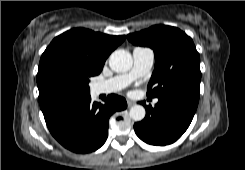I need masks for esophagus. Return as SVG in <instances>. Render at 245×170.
<instances>
[{
	"label": "esophagus",
	"instance_id": "1",
	"mask_svg": "<svg viewBox=\"0 0 245 170\" xmlns=\"http://www.w3.org/2000/svg\"><path fill=\"white\" fill-rule=\"evenodd\" d=\"M133 104H134V102H133V101H131V100L127 99V105H128V107H131Z\"/></svg>",
	"mask_w": 245,
	"mask_h": 170
}]
</instances>
